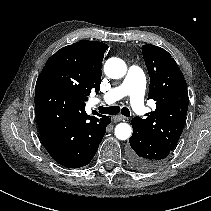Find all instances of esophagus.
<instances>
[{"label": "esophagus", "instance_id": "obj_1", "mask_svg": "<svg viewBox=\"0 0 211 211\" xmlns=\"http://www.w3.org/2000/svg\"><path fill=\"white\" fill-rule=\"evenodd\" d=\"M126 119V117L122 116V115H116L113 117V120L115 122H120V121H124Z\"/></svg>", "mask_w": 211, "mask_h": 211}]
</instances>
